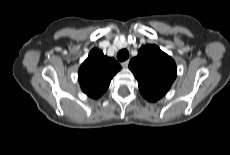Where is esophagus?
Returning a JSON list of instances; mask_svg holds the SVG:
<instances>
[{
  "label": "esophagus",
  "mask_w": 230,
  "mask_h": 155,
  "mask_svg": "<svg viewBox=\"0 0 230 155\" xmlns=\"http://www.w3.org/2000/svg\"><path fill=\"white\" fill-rule=\"evenodd\" d=\"M128 64H129V60H126V61H124V62L121 63V65H122L123 68L128 67Z\"/></svg>",
  "instance_id": "obj_1"
}]
</instances>
